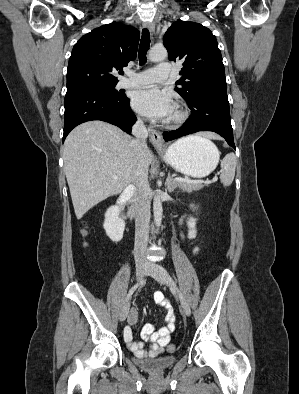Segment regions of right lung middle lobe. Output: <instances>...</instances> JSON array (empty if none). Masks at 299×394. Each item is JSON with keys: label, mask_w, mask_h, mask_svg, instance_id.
I'll list each match as a JSON object with an SVG mask.
<instances>
[{"label": "right lung middle lobe", "mask_w": 299, "mask_h": 394, "mask_svg": "<svg viewBox=\"0 0 299 394\" xmlns=\"http://www.w3.org/2000/svg\"><path fill=\"white\" fill-rule=\"evenodd\" d=\"M117 82H109V83H90L83 85L78 88L74 89H80V88H102V89H107L111 92H113L115 95H120V93L115 89ZM68 90H73V89H68Z\"/></svg>", "instance_id": "dd1d6c3e"}]
</instances>
